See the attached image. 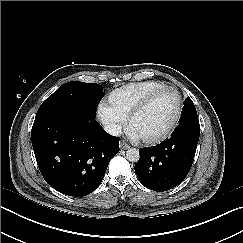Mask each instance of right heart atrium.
Listing matches in <instances>:
<instances>
[{
    "label": "right heart atrium",
    "instance_id": "obj_1",
    "mask_svg": "<svg viewBox=\"0 0 243 243\" xmlns=\"http://www.w3.org/2000/svg\"><path fill=\"white\" fill-rule=\"evenodd\" d=\"M97 114L99 120L109 133L115 134L122 129L124 125V120L116 115L109 106L104 104L100 105Z\"/></svg>",
    "mask_w": 243,
    "mask_h": 243
}]
</instances>
